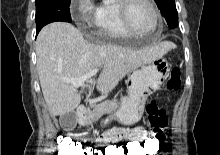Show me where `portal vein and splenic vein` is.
<instances>
[{
    "mask_svg": "<svg viewBox=\"0 0 220 155\" xmlns=\"http://www.w3.org/2000/svg\"><path fill=\"white\" fill-rule=\"evenodd\" d=\"M99 71L98 68H95L93 70H91L90 72L80 76L79 78H64L63 81L66 83H70L73 88H78V87H86V81L89 80L91 77H93L94 75L97 74V72ZM89 93L91 94V92L89 91Z\"/></svg>",
    "mask_w": 220,
    "mask_h": 155,
    "instance_id": "obj_1",
    "label": "portal vein and splenic vein"
}]
</instances>
